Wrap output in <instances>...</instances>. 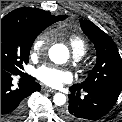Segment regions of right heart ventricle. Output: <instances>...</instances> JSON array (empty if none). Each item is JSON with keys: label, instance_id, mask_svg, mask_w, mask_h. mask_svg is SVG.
<instances>
[{"label": "right heart ventricle", "instance_id": "e07e8e85", "mask_svg": "<svg viewBox=\"0 0 122 122\" xmlns=\"http://www.w3.org/2000/svg\"><path fill=\"white\" fill-rule=\"evenodd\" d=\"M70 44H71L73 53H79L83 56L87 51V44L85 40L79 36L71 37Z\"/></svg>", "mask_w": 122, "mask_h": 122}]
</instances>
